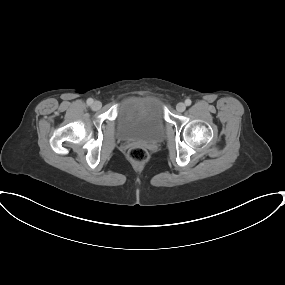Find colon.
Returning a JSON list of instances; mask_svg holds the SVG:
<instances>
[{"instance_id":"5ec220e1","label":"colon","mask_w":285,"mask_h":285,"mask_svg":"<svg viewBox=\"0 0 285 285\" xmlns=\"http://www.w3.org/2000/svg\"><path fill=\"white\" fill-rule=\"evenodd\" d=\"M128 157L132 162L141 164L148 159V152L145 148L136 146L129 149Z\"/></svg>"}]
</instances>
